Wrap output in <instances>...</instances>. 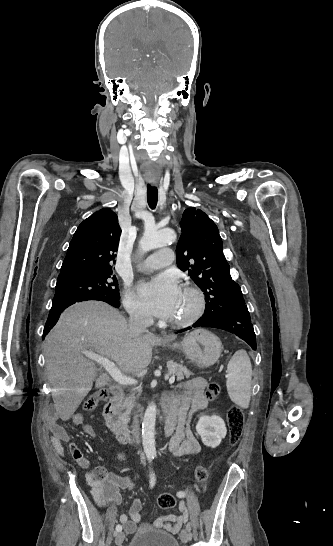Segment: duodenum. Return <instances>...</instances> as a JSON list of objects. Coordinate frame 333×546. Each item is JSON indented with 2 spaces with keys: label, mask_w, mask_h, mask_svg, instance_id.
<instances>
[{
  "label": "duodenum",
  "mask_w": 333,
  "mask_h": 546,
  "mask_svg": "<svg viewBox=\"0 0 333 546\" xmlns=\"http://www.w3.org/2000/svg\"><path fill=\"white\" fill-rule=\"evenodd\" d=\"M122 393L120 386L110 388V399L104 408V417L107 428L114 438L120 443L128 444L133 442L132 431L124 422L119 410V400Z\"/></svg>",
  "instance_id": "duodenum-1"
}]
</instances>
